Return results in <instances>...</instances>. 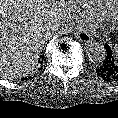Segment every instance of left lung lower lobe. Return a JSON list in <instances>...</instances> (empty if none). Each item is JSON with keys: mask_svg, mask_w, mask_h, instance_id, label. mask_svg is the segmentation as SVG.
Listing matches in <instances>:
<instances>
[{"mask_svg": "<svg viewBox=\"0 0 118 118\" xmlns=\"http://www.w3.org/2000/svg\"><path fill=\"white\" fill-rule=\"evenodd\" d=\"M106 58L96 69L97 74L105 81L118 83V60L114 59L111 48L105 44Z\"/></svg>", "mask_w": 118, "mask_h": 118, "instance_id": "1", "label": "left lung lower lobe"}]
</instances>
